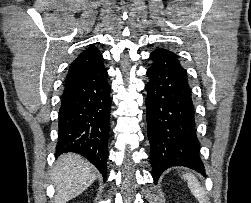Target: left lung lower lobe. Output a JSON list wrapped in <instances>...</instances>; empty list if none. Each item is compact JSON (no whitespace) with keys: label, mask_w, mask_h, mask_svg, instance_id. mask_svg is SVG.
<instances>
[{"label":"left lung lower lobe","mask_w":251,"mask_h":203,"mask_svg":"<svg viewBox=\"0 0 251 203\" xmlns=\"http://www.w3.org/2000/svg\"><path fill=\"white\" fill-rule=\"evenodd\" d=\"M147 70V126L153 179L172 166H185L205 174L196 135L195 108L186 70L178 56L156 49Z\"/></svg>","instance_id":"obj_1"}]
</instances>
